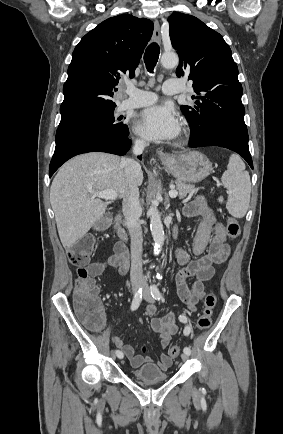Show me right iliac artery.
I'll use <instances>...</instances> for the list:
<instances>
[{
	"label": "right iliac artery",
	"mask_w": 283,
	"mask_h": 434,
	"mask_svg": "<svg viewBox=\"0 0 283 434\" xmlns=\"http://www.w3.org/2000/svg\"><path fill=\"white\" fill-rule=\"evenodd\" d=\"M141 301H142V288H139L134 295V298H133V301L131 304V310L132 311L136 310L139 307ZM116 355L120 359L123 358V354L119 350H116Z\"/></svg>",
	"instance_id": "82829eb1"
}]
</instances>
